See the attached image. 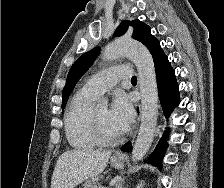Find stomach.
Instances as JSON below:
<instances>
[{"label":"stomach","instance_id":"stomach-1","mask_svg":"<svg viewBox=\"0 0 224 188\" xmlns=\"http://www.w3.org/2000/svg\"><path fill=\"white\" fill-rule=\"evenodd\" d=\"M111 165L117 169H121L124 167V160L123 159H111Z\"/></svg>","mask_w":224,"mask_h":188}]
</instances>
